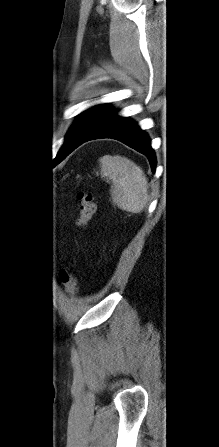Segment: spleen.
<instances>
[{
	"label": "spleen",
	"mask_w": 219,
	"mask_h": 447,
	"mask_svg": "<svg viewBox=\"0 0 219 447\" xmlns=\"http://www.w3.org/2000/svg\"><path fill=\"white\" fill-rule=\"evenodd\" d=\"M101 176L112 182L111 197L120 209L140 213L147 199V179L143 170L124 156L105 155L99 159Z\"/></svg>",
	"instance_id": "1"
}]
</instances>
